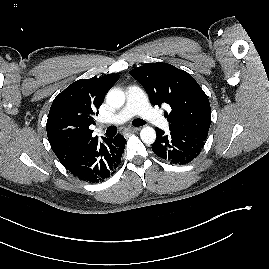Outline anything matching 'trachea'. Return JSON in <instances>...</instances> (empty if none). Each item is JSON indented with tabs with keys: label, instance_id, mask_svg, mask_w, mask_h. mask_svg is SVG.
<instances>
[{
	"label": "trachea",
	"instance_id": "1",
	"mask_svg": "<svg viewBox=\"0 0 269 269\" xmlns=\"http://www.w3.org/2000/svg\"><path fill=\"white\" fill-rule=\"evenodd\" d=\"M132 124L133 126L140 127V126L145 125L146 122L138 118V119L133 120ZM106 132L110 134H115L117 132V128L115 126H109Z\"/></svg>",
	"mask_w": 269,
	"mask_h": 269
}]
</instances>
